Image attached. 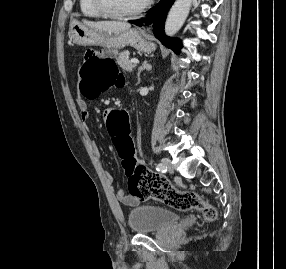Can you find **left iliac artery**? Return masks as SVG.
<instances>
[{"mask_svg":"<svg viewBox=\"0 0 286 269\" xmlns=\"http://www.w3.org/2000/svg\"><path fill=\"white\" fill-rule=\"evenodd\" d=\"M156 170L157 171H160V172H166L167 171V167L165 165H163L162 163H159L156 167Z\"/></svg>","mask_w":286,"mask_h":269,"instance_id":"44dca946","label":"left iliac artery"}]
</instances>
